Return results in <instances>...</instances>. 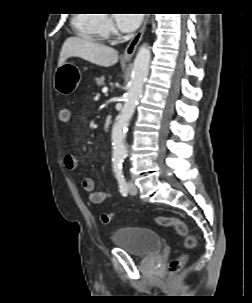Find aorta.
Masks as SVG:
<instances>
[{
	"label": "aorta",
	"instance_id": "aorta-1",
	"mask_svg": "<svg viewBox=\"0 0 252 303\" xmlns=\"http://www.w3.org/2000/svg\"><path fill=\"white\" fill-rule=\"evenodd\" d=\"M150 59L151 51L146 44H143L139 48L134 60L124 106L117 116L112 130V162L114 165H120L127 156L128 151L125 142L126 128L142 95L143 86L149 72Z\"/></svg>",
	"mask_w": 252,
	"mask_h": 303
}]
</instances>
